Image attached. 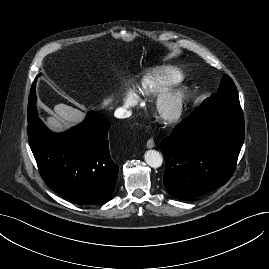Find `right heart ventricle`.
Returning <instances> with one entry per match:
<instances>
[{
	"instance_id": "e07e8e85",
	"label": "right heart ventricle",
	"mask_w": 269,
	"mask_h": 269,
	"mask_svg": "<svg viewBox=\"0 0 269 269\" xmlns=\"http://www.w3.org/2000/svg\"><path fill=\"white\" fill-rule=\"evenodd\" d=\"M182 81V75L169 68L155 69L148 73L137 88L141 95L159 93Z\"/></svg>"
}]
</instances>
